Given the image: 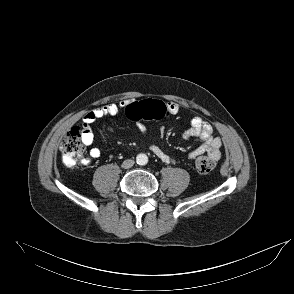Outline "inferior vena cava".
<instances>
[{
    "instance_id": "1",
    "label": "inferior vena cava",
    "mask_w": 294,
    "mask_h": 294,
    "mask_svg": "<svg viewBox=\"0 0 294 294\" xmlns=\"http://www.w3.org/2000/svg\"><path fill=\"white\" fill-rule=\"evenodd\" d=\"M134 163H135L134 160L127 159V160L123 161L121 167L124 168V169H129L134 165Z\"/></svg>"
}]
</instances>
